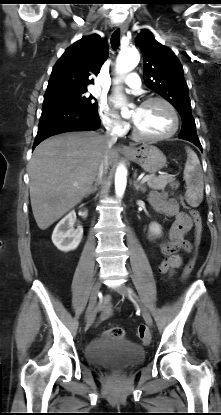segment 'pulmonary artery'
Instances as JSON below:
<instances>
[{
	"instance_id": "obj_1",
	"label": "pulmonary artery",
	"mask_w": 221,
	"mask_h": 415,
	"mask_svg": "<svg viewBox=\"0 0 221 415\" xmlns=\"http://www.w3.org/2000/svg\"><path fill=\"white\" fill-rule=\"evenodd\" d=\"M116 83H125L126 85H128L129 87L133 88V89H138L141 85V80L139 78V76L136 73H130L129 75L120 78V79H116L115 80Z\"/></svg>"
}]
</instances>
